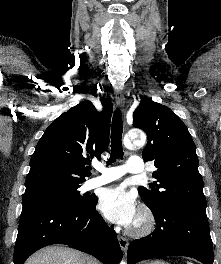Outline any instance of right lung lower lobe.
<instances>
[{
    "label": "right lung lower lobe",
    "instance_id": "98d812e1",
    "mask_svg": "<svg viewBox=\"0 0 221 264\" xmlns=\"http://www.w3.org/2000/svg\"><path fill=\"white\" fill-rule=\"evenodd\" d=\"M98 198L80 207L48 203L23 205L14 250V264H23L35 251L65 244L93 255L104 264H118L121 248L115 231L96 212Z\"/></svg>",
    "mask_w": 221,
    "mask_h": 264
}]
</instances>
